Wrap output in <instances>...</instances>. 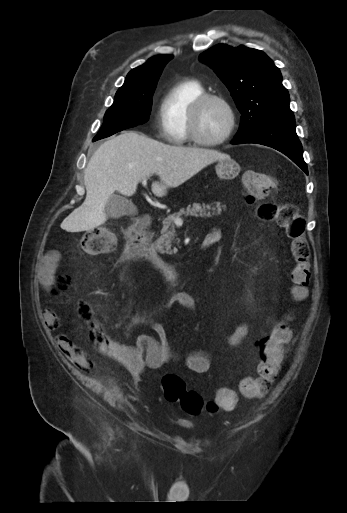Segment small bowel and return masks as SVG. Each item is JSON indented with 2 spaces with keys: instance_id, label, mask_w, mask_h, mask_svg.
<instances>
[{
  "instance_id": "small-bowel-1",
  "label": "small bowel",
  "mask_w": 347,
  "mask_h": 513,
  "mask_svg": "<svg viewBox=\"0 0 347 513\" xmlns=\"http://www.w3.org/2000/svg\"><path fill=\"white\" fill-rule=\"evenodd\" d=\"M210 233H215L219 238V232L216 229L212 230ZM56 265V256L52 255L44 263L41 271V285L48 292H50L54 286ZM165 306L167 308L181 306L190 311H194L196 308V302L194 296L190 292L182 291L171 296ZM57 321V315L53 310L50 309L46 311L45 322L49 326H55ZM150 327L156 333L157 338L149 335H139L134 345H115L112 350H109L111 357L118 364L125 367L135 379H139L147 368L157 369L165 364L180 359L174 351L171 339L163 326L156 322H150ZM247 335V324L240 325L227 337L228 347H238ZM56 343L60 351L64 355L76 360L80 367L84 368L88 366L87 359L70 339L65 336H60L57 338ZM258 345H262V343ZM182 359L186 367L195 373L201 374L210 370L211 360L209 353L206 351H192L184 355Z\"/></svg>"
}]
</instances>
